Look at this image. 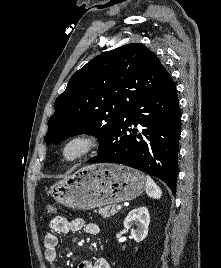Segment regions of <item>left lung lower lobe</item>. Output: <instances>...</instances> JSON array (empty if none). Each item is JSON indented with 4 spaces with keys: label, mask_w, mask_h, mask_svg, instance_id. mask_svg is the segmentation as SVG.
<instances>
[{
    "label": "left lung lower lobe",
    "mask_w": 221,
    "mask_h": 268,
    "mask_svg": "<svg viewBox=\"0 0 221 268\" xmlns=\"http://www.w3.org/2000/svg\"><path fill=\"white\" fill-rule=\"evenodd\" d=\"M180 120L176 87L171 80L128 110L88 163L111 162L136 168L163 180L175 194ZM138 124L139 133L130 128Z\"/></svg>",
    "instance_id": "0a47b994"
}]
</instances>
